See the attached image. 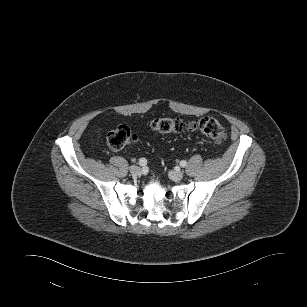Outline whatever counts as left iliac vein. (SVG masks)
I'll use <instances>...</instances> for the list:
<instances>
[{"mask_svg": "<svg viewBox=\"0 0 307 307\" xmlns=\"http://www.w3.org/2000/svg\"><path fill=\"white\" fill-rule=\"evenodd\" d=\"M184 174L182 171L180 170H173L169 172V177L173 180V181H180L182 180Z\"/></svg>", "mask_w": 307, "mask_h": 307, "instance_id": "1", "label": "left iliac vein"}]
</instances>
